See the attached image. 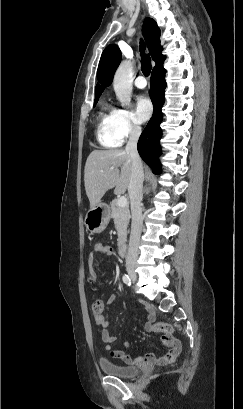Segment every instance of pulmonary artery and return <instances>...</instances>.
<instances>
[{
	"label": "pulmonary artery",
	"mask_w": 243,
	"mask_h": 409,
	"mask_svg": "<svg viewBox=\"0 0 243 409\" xmlns=\"http://www.w3.org/2000/svg\"><path fill=\"white\" fill-rule=\"evenodd\" d=\"M135 86L139 89H144L147 86V81L143 75H140L135 80Z\"/></svg>",
	"instance_id": "pulmonary-artery-1"
}]
</instances>
